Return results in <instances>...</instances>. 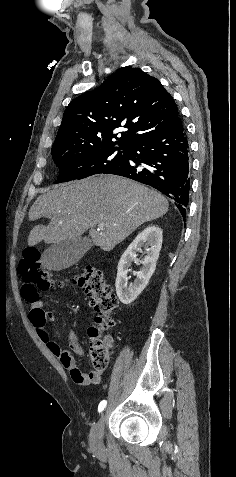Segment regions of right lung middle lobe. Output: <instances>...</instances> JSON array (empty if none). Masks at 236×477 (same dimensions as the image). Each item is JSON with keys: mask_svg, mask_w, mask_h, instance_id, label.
<instances>
[{"mask_svg": "<svg viewBox=\"0 0 236 477\" xmlns=\"http://www.w3.org/2000/svg\"><path fill=\"white\" fill-rule=\"evenodd\" d=\"M88 148L83 151L53 156L56 165L61 169L55 183L83 179L95 174L108 173L126 161L125 151Z\"/></svg>", "mask_w": 236, "mask_h": 477, "instance_id": "dd1d6c3e", "label": "right lung middle lobe"}]
</instances>
